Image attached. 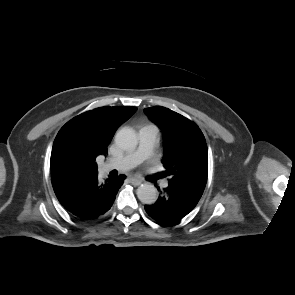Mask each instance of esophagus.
Instances as JSON below:
<instances>
[{
  "label": "esophagus",
  "instance_id": "esophagus-1",
  "mask_svg": "<svg viewBox=\"0 0 295 295\" xmlns=\"http://www.w3.org/2000/svg\"><path fill=\"white\" fill-rule=\"evenodd\" d=\"M130 182L135 185V186H138L141 184V180L140 179H137L135 177H130Z\"/></svg>",
  "mask_w": 295,
  "mask_h": 295
}]
</instances>
